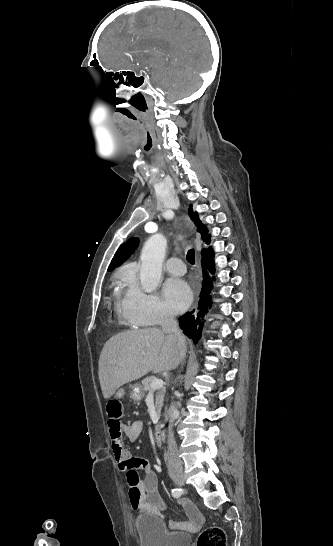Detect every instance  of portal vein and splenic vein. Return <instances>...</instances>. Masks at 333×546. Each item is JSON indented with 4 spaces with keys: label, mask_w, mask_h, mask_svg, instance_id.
Segmentation results:
<instances>
[{
    "label": "portal vein and splenic vein",
    "mask_w": 333,
    "mask_h": 546,
    "mask_svg": "<svg viewBox=\"0 0 333 546\" xmlns=\"http://www.w3.org/2000/svg\"><path fill=\"white\" fill-rule=\"evenodd\" d=\"M163 385H164V381L162 379L155 378L151 382V389L156 390V389L162 388Z\"/></svg>",
    "instance_id": "obj_1"
}]
</instances>
